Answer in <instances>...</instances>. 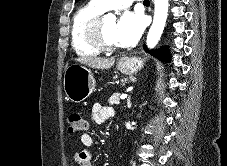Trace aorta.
<instances>
[{
	"instance_id": "obj_1",
	"label": "aorta",
	"mask_w": 227,
	"mask_h": 166,
	"mask_svg": "<svg viewBox=\"0 0 227 166\" xmlns=\"http://www.w3.org/2000/svg\"><path fill=\"white\" fill-rule=\"evenodd\" d=\"M154 4V19L146 41L147 47L150 49L154 48L160 40L166 23L169 5L168 0H154ZM107 18L115 20V16L111 13L107 15Z\"/></svg>"
}]
</instances>
